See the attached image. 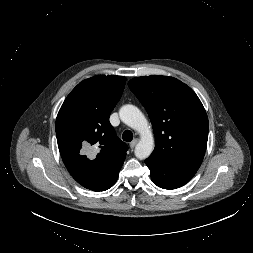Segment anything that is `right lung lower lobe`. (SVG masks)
<instances>
[{"label": "right lung lower lobe", "instance_id": "obj_1", "mask_svg": "<svg viewBox=\"0 0 253 253\" xmlns=\"http://www.w3.org/2000/svg\"><path fill=\"white\" fill-rule=\"evenodd\" d=\"M117 180V179H116ZM116 180H114V182L107 188V189H109L112 185H114V183L116 182ZM106 189V190H107Z\"/></svg>", "mask_w": 253, "mask_h": 253}]
</instances>
